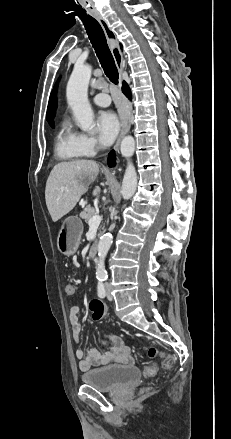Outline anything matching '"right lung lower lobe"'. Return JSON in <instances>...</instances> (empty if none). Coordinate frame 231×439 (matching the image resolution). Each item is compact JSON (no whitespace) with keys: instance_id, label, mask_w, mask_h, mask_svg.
Segmentation results:
<instances>
[{"instance_id":"right-lung-lower-lobe-1","label":"right lung lower lobe","mask_w":231,"mask_h":439,"mask_svg":"<svg viewBox=\"0 0 231 439\" xmlns=\"http://www.w3.org/2000/svg\"><path fill=\"white\" fill-rule=\"evenodd\" d=\"M122 91L128 99H131V91L126 82H123ZM108 165L113 167L115 165V152L111 151L108 156Z\"/></svg>"}]
</instances>
